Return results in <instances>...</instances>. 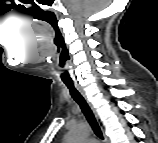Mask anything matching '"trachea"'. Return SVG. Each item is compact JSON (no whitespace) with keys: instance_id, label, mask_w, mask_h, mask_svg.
I'll list each match as a JSON object with an SVG mask.
<instances>
[{"instance_id":"3493384b","label":"trachea","mask_w":158,"mask_h":143,"mask_svg":"<svg viewBox=\"0 0 158 143\" xmlns=\"http://www.w3.org/2000/svg\"><path fill=\"white\" fill-rule=\"evenodd\" d=\"M65 85L69 89L70 94L73 97V99L79 104L82 112L84 113L87 121L91 125V127H92L93 131L95 132V134L100 139H103V135H102L101 129L98 125V122H97L90 106L86 102L85 98L79 93V91L75 88L73 83H65Z\"/></svg>"}]
</instances>
